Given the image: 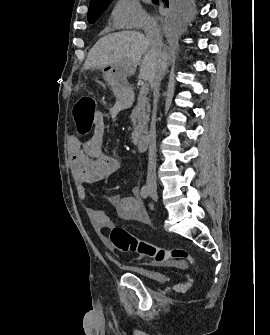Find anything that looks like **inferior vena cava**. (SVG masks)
Returning <instances> with one entry per match:
<instances>
[{"mask_svg": "<svg viewBox=\"0 0 270 335\" xmlns=\"http://www.w3.org/2000/svg\"><path fill=\"white\" fill-rule=\"evenodd\" d=\"M143 30L145 32V36L147 40H150L153 46H163L162 44V36L161 30L154 18H146L143 24ZM167 64H162L160 70H157L156 76H154L153 80H151V88L154 94V106L156 108L158 98H159V90H160V82L164 76V72L166 70ZM149 164L147 171V185H157L156 183V126H155V116H152V122L150 126L149 132Z\"/></svg>", "mask_w": 270, "mask_h": 335, "instance_id": "1", "label": "inferior vena cava"}]
</instances>
